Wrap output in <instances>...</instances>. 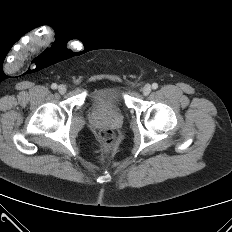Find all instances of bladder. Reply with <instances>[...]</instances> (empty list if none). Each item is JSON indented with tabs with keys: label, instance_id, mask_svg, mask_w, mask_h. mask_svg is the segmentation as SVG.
<instances>
[{
	"label": "bladder",
	"instance_id": "obj_1",
	"mask_svg": "<svg viewBox=\"0 0 232 232\" xmlns=\"http://www.w3.org/2000/svg\"><path fill=\"white\" fill-rule=\"evenodd\" d=\"M90 101L94 107L103 109H121L125 104L123 92L116 84L98 88L92 93Z\"/></svg>",
	"mask_w": 232,
	"mask_h": 232
}]
</instances>
